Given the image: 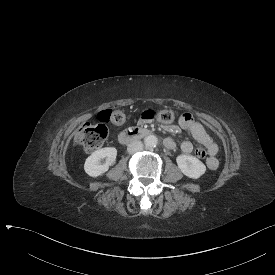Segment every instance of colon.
Masks as SVG:
<instances>
[{
    "label": "colon",
    "mask_w": 275,
    "mask_h": 275,
    "mask_svg": "<svg viewBox=\"0 0 275 275\" xmlns=\"http://www.w3.org/2000/svg\"><path fill=\"white\" fill-rule=\"evenodd\" d=\"M143 117L147 120L157 121L161 124L172 123L175 119V112L170 109L155 111L153 109L144 112ZM100 120L104 123L110 122L121 124L125 120V115L120 110L109 111L104 110L100 113ZM108 136V130L104 125L84 124L80 126L77 132V141L83 147L85 152H95L102 148ZM195 155L199 159H204L207 156L204 147H197Z\"/></svg>",
    "instance_id": "colon-1"
}]
</instances>
